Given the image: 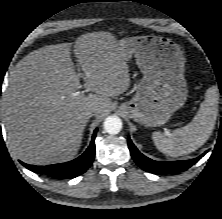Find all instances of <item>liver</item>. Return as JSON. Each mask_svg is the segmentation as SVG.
<instances>
[{"mask_svg":"<svg viewBox=\"0 0 222 219\" xmlns=\"http://www.w3.org/2000/svg\"><path fill=\"white\" fill-rule=\"evenodd\" d=\"M109 32L81 35L72 43L39 48L20 60L9 77L3 105L9 146L25 163L48 165L66 162L77 154L84 129L96 117L106 115L110 97L125 92L130 73L124 55ZM82 73H77L71 50ZM80 77L87 90L76 93Z\"/></svg>","mask_w":222,"mask_h":219,"instance_id":"6515ba94","label":"liver"}]
</instances>
